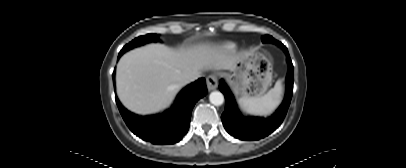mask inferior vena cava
Masks as SVG:
<instances>
[{
  "mask_svg": "<svg viewBox=\"0 0 406 168\" xmlns=\"http://www.w3.org/2000/svg\"><path fill=\"white\" fill-rule=\"evenodd\" d=\"M199 76H200V75H199L198 73L185 74V75L182 77L181 82H182L183 84H188V83H190V82L195 81L196 79H198Z\"/></svg>",
  "mask_w": 406,
  "mask_h": 168,
  "instance_id": "obj_1",
  "label": "inferior vena cava"
}]
</instances>
